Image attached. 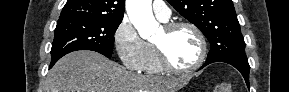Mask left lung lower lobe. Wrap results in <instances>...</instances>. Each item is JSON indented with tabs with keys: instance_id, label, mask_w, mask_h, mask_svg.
<instances>
[{
	"instance_id": "obj_1",
	"label": "left lung lower lobe",
	"mask_w": 289,
	"mask_h": 92,
	"mask_svg": "<svg viewBox=\"0 0 289 92\" xmlns=\"http://www.w3.org/2000/svg\"><path fill=\"white\" fill-rule=\"evenodd\" d=\"M214 62H224V63H228V64L232 65L233 67H235L243 75V77L246 81V84L249 88L250 66H249L248 60L239 59V58H228V57L218 58V59H215L212 61H206L205 64L201 68H203L204 66H206L208 64L214 63Z\"/></svg>"
}]
</instances>
